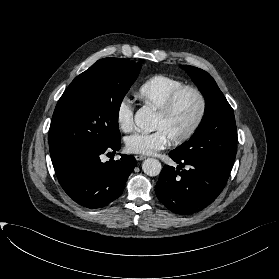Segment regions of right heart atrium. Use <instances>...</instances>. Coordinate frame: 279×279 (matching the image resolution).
I'll list each match as a JSON object with an SVG mask.
<instances>
[{
  "label": "right heart atrium",
  "mask_w": 279,
  "mask_h": 279,
  "mask_svg": "<svg viewBox=\"0 0 279 279\" xmlns=\"http://www.w3.org/2000/svg\"><path fill=\"white\" fill-rule=\"evenodd\" d=\"M116 123L120 130L128 132L134 125V106L127 98L122 99L116 108Z\"/></svg>",
  "instance_id": "right-heart-atrium-1"
}]
</instances>
